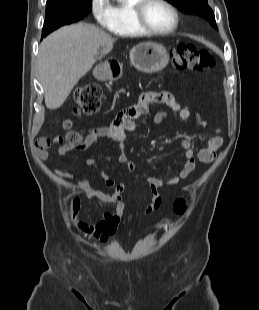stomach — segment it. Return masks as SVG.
<instances>
[{
  "label": "stomach",
  "mask_w": 259,
  "mask_h": 310,
  "mask_svg": "<svg viewBox=\"0 0 259 310\" xmlns=\"http://www.w3.org/2000/svg\"><path fill=\"white\" fill-rule=\"evenodd\" d=\"M131 64L139 71L155 73L163 70L169 62V52L157 43L146 42L134 46L130 53ZM104 77V75H101Z\"/></svg>",
  "instance_id": "stomach-1"
}]
</instances>
